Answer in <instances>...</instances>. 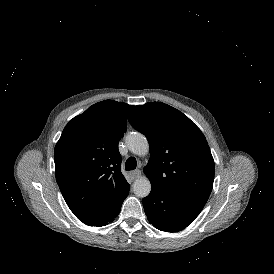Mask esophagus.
<instances>
[{"mask_svg":"<svg viewBox=\"0 0 274 274\" xmlns=\"http://www.w3.org/2000/svg\"><path fill=\"white\" fill-rule=\"evenodd\" d=\"M141 176V171L140 170H135V171H131L129 173V177L134 180V179H137Z\"/></svg>","mask_w":274,"mask_h":274,"instance_id":"esophagus-1","label":"esophagus"}]
</instances>
